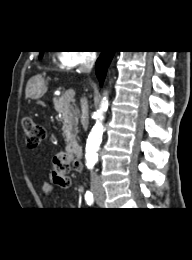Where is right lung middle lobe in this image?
<instances>
[{
    "label": "right lung middle lobe",
    "instance_id": "1",
    "mask_svg": "<svg viewBox=\"0 0 192 260\" xmlns=\"http://www.w3.org/2000/svg\"><path fill=\"white\" fill-rule=\"evenodd\" d=\"M42 55H43V51H41L40 57H42Z\"/></svg>",
    "mask_w": 192,
    "mask_h": 260
}]
</instances>
